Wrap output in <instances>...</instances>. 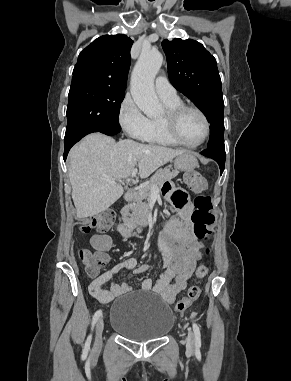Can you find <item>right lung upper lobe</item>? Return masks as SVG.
<instances>
[{
  "mask_svg": "<svg viewBox=\"0 0 291 381\" xmlns=\"http://www.w3.org/2000/svg\"><path fill=\"white\" fill-rule=\"evenodd\" d=\"M132 44L123 34L104 35L94 40L80 52L71 86L125 89Z\"/></svg>",
  "mask_w": 291,
  "mask_h": 381,
  "instance_id": "cb5924a9",
  "label": "right lung upper lobe"
}]
</instances>
